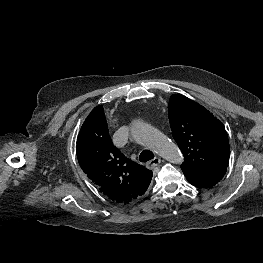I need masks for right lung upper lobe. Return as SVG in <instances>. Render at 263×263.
<instances>
[{
	"instance_id": "1",
	"label": "right lung upper lobe",
	"mask_w": 263,
	"mask_h": 263,
	"mask_svg": "<svg viewBox=\"0 0 263 263\" xmlns=\"http://www.w3.org/2000/svg\"><path fill=\"white\" fill-rule=\"evenodd\" d=\"M76 153L88 178L114 202H135L152 179V171L131 161L113 145L102 105L95 107L84 121Z\"/></svg>"
}]
</instances>
